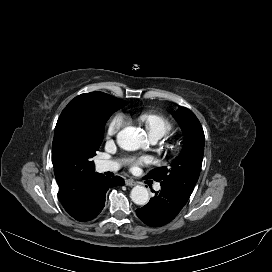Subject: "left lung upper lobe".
Listing matches in <instances>:
<instances>
[{"instance_id": "1", "label": "left lung upper lobe", "mask_w": 272, "mask_h": 272, "mask_svg": "<svg viewBox=\"0 0 272 272\" xmlns=\"http://www.w3.org/2000/svg\"><path fill=\"white\" fill-rule=\"evenodd\" d=\"M173 114L186 132L182 151L169 167L155 168L146 178L160 182L161 186L174 190L188 200L200 175L205 136L191 110L180 107Z\"/></svg>"}]
</instances>
